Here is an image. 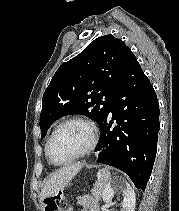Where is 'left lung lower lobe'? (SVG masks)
Segmentation results:
<instances>
[{
    "label": "left lung lower lobe",
    "instance_id": "1",
    "mask_svg": "<svg viewBox=\"0 0 179 211\" xmlns=\"http://www.w3.org/2000/svg\"><path fill=\"white\" fill-rule=\"evenodd\" d=\"M114 121L117 125L111 128ZM159 128L157 96L133 56L100 127L98 162L120 169L136 188L145 190L156 156Z\"/></svg>",
    "mask_w": 179,
    "mask_h": 211
}]
</instances>
